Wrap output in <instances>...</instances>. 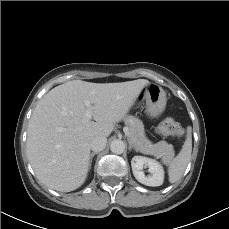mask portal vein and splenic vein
<instances>
[{
  "label": "portal vein and splenic vein",
  "instance_id": "obj_1",
  "mask_svg": "<svg viewBox=\"0 0 229 229\" xmlns=\"http://www.w3.org/2000/svg\"><path fill=\"white\" fill-rule=\"evenodd\" d=\"M85 106H86V112L84 114V120L85 121H89L92 118V105L90 103V101H85L84 102ZM123 131L125 133L126 136H129V129L128 127H124Z\"/></svg>",
  "mask_w": 229,
  "mask_h": 229
}]
</instances>
